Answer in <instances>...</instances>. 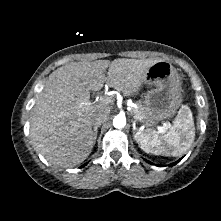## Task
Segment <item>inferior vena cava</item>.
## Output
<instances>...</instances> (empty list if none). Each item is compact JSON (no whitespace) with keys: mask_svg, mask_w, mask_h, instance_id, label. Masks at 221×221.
Returning <instances> with one entry per match:
<instances>
[{"mask_svg":"<svg viewBox=\"0 0 221 221\" xmlns=\"http://www.w3.org/2000/svg\"><path fill=\"white\" fill-rule=\"evenodd\" d=\"M108 119V115L103 112V110H98L92 115L93 125H101Z\"/></svg>","mask_w":221,"mask_h":221,"instance_id":"1","label":"inferior vena cava"}]
</instances>
